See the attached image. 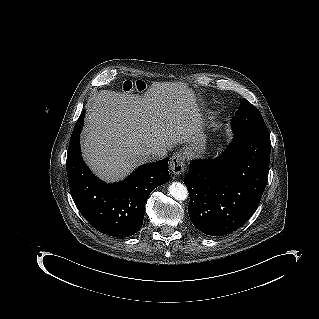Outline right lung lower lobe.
<instances>
[{"instance_id":"obj_1","label":"right lung lower lobe","mask_w":319,"mask_h":319,"mask_svg":"<svg viewBox=\"0 0 319 319\" xmlns=\"http://www.w3.org/2000/svg\"><path fill=\"white\" fill-rule=\"evenodd\" d=\"M84 116L85 111H82L67 152L72 198L79 212L96 230L113 237H129L143 224L149 194L169 181V158L140 166L123 182L106 184L96 178L82 160L79 140Z\"/></svg>"}]
</instances>
